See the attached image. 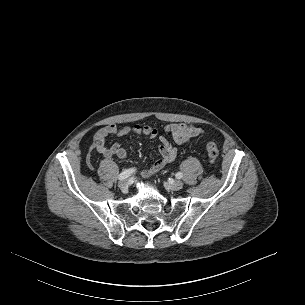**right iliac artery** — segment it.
I'll list each match as a JSON object with an SVG mask.
<instances>
[{"label":"right iliac artery","mask_w":305,"mask_h":305,"mask_svg":"<svg viewBox=\"0 0 305 305\" xmlns=\"http://www.w3.org/2000/svg\"><path fill=\"white\" fill-rule=\"evenodd\" d=\"M134 172H135L134 168L126 169L119 174L118 179L124 180V179L128 178Z\"/></svg>","instance_id":"right-iliac-artery-1"}]
</instances>
